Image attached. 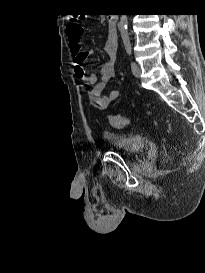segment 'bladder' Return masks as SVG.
Here are the masks:
<instances>
[{
  "label": "bladder",
  "instance_id": "1",
  "mask_svg": "<svg viewBox=\"0 0 205 273\" xmlns=\"http://www.w3.org/2000/svg\"><path fill=\"white\" fill-rule=\"evenodd\" d=\"M103 138L108 146L131 156L141 155L146 147L145 138L135 133L105 131Z\"/></svg>",
  "mask_w": 205,
  "mask_h": 273
}]
</instances>
